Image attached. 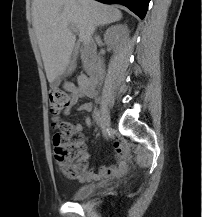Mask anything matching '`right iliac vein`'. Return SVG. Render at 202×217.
<instances>
[{
	"instance_id": "obj_1",
	"label": "right iliac vein",
	"mask_w": 202,
	"mask_h": 217,
	"mask_svg": "<svg viewBox=\"0 0 202 217\" xmlns=\"http://www.w3.org/2000/svg\"><path fill=\"white\" fill-rule=\"evenodd\" d=\"M101 128L104 134L107 133L110 128V117L105 105L102 104V116H101Z\"/></svg>"
}]
</instances>
